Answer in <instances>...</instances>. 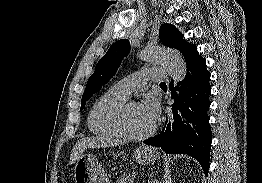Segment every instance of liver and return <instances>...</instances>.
I'll return each mask as SVG.
<instances>
[{"label": "liver", "mask_w": 262, "mask_h": 183, "mask_svg": "<svg viewBox=\"0 0 262 183\" xmlns=\"http://www.w3.org/2000/svg\"><path fill=\"white\" fill-rule=\"evenodd\" d=\"M124 141L104 137V136H96V137H86L78 140L73 147V150L70 155L69 164H74L84 153L87 148H97V147H108V146H116L119 144H123Z\"/></svg>", "instance_id": "liver-1"}]
</instances>
